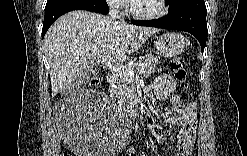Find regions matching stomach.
Masks as SVG:
<instances>
[{
    "instance_id": "stomach-1",
    "label": "stomach",
    "mask_w": 247,
    "mask_h": 156,
    "mask_svg": "<svg viewBox=\"0 0 247 156\" xmlns=\"http://www.w3.org/2000/svg\"><path fill=\"white\" fill-rule=\"evenodd\" d=\"M155 46L161 55L173 57L185 50L187 39L181 33L168 32L157 38Z\"/></svg>"
}]
</instances>
